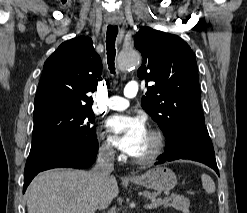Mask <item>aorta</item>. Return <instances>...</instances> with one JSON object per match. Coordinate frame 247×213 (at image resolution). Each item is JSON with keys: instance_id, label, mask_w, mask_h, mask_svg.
Segmentation results:
<instances>
[{"instance_id": "obj_1", "label": "aorta", "mask_w": 247, "mask_h": 213, "mask_svg": "<svg viewBox=\"0 0 247 213\" xmlns=\"http://www.w3.org/2000/svg\"><path fill=\"white\" fill-rule=\"evenodd\" d=\"M140 55L135 50L121 51L118 56V68L120 71H126L140 63Z\"/></svg>"}]
</instances>
